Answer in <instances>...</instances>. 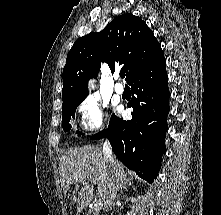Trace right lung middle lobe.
Here are the masks:
<instances>
[{"mask_svg":"<svg viewBox=\"0 0 221 215\" xmlns=\"http://www.w3.org/2000/svg\"><path fill=\"white\" fill-rule=\"evenodd\" d=\"M81 102L82 101H73V102L64 103L62 105V127L64 131H69L71 129V125L69 124V121L71 117L75 118L76 108ZM114 118H115V115L113 114L110 119V123L113 121ZM78 135H81V132H78Z\"/></svg>","mask_w":221,"mask_h":215,"instance_id":"right-lung-middle-lobe-1","label":"right lung middle lobe"}]
</instances>
